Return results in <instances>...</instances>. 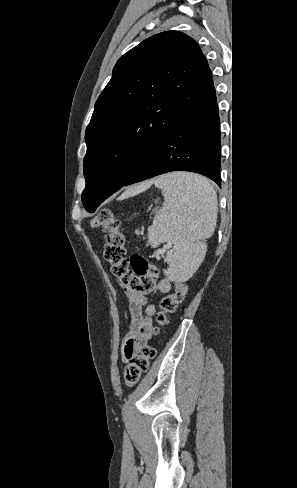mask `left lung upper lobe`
Instances as JSON below:
<instances>
[{
	"label": "left lung upper lobe",
	"instance_id": "obj_1",
	"mask_svg": "<svg viewBox=\"0 0 297 488\" xmlns=\"http://www.w3.org/2000/svg\"><path fill=\"white\" fill-rule=\"evenodd\" d=\"M214 95L205 56L182 32L156 34L124 54L85 131V209L93 213L169 132Z\"/></svg>",
	"mask_w": 297,
	"mask_h": 488
}]
</instances>
